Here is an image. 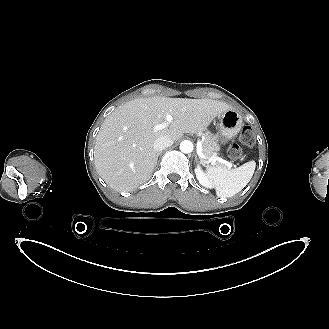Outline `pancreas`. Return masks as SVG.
I'll return each instance as SVG.
<instances>
[{
  "label": "pancreas",
  "instance_id": "pancreas-1",
  "mask_svg": "<svg viewBox=\"0 0 329 329\" xmlns=\"http://www.w3.org/2000/svg\"><path fill=\"white\" fill-rule=\"evenodd\" d=\"M218 150V145L216 142V137L210 133H206L205 139L203 141L202 152L204 155L213 156L216 155Z\"/></svg>",
  "mask_w": 329,
  "mask_h": 329
}]
</instances>
